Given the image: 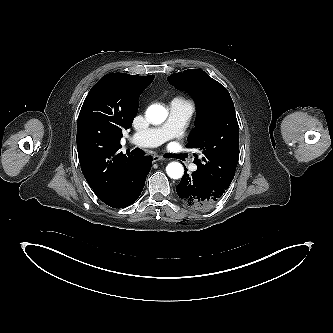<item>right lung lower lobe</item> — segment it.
Wrapping results in <instances>:
<instances>
[{"label": "right lung lower lobe", "instance_id": "right-lung-lower-lobe-1", "mask_svg": "<svg viewBox=\"0 0 333 333\" xmlns=\"http://www.w3.org/2000/svg\"><path fill=\"white\" fill-rule=\"evenodd\" d=\"M150 156L133 157L125 165L117 192L105 204L113 208L131 205L141 194L146 176L151 169Z\"/></svg>", "mask_w": 333, "mask_h": 333}]
</instances>
